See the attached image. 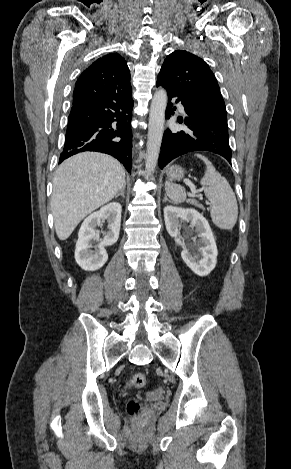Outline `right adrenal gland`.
<instances>
[{
  "label": "right adrenal gland",
  "mask_w": 291,
  "mask_h": 469,
  "mask_svg": "<svg viewBox=\"0 0 291 469\" xmlns=\"http://www.w3.org/2000/svg\"><path fill=\"white\" fill-rule=\"evenodd\" d=\"M125 187H126V184L123 186V188L120 190V192H118V193L115 195V198L119 197L120 195H121L123 198H125V195H124Z\"/></svg>",
  "instance_id": "right-adrenal-gland-1"
}]
</instances>
